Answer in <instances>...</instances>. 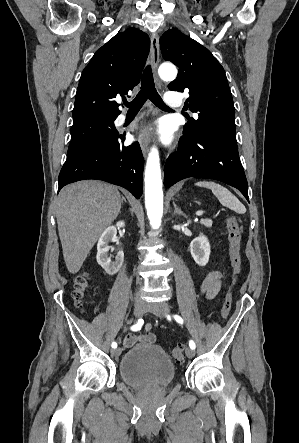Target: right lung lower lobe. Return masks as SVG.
Wrapping results in <instances>:
<instances>
[{"label": "right lung lower lobe", "instance_id": "obj_1", "mask_svg": "<svg viewBox=\"0 0 299 443\" xmlns=\"http://www.w3.org/2000/svg\"><path fill=\"white\" fill-rule=\"evenodd\" d=\"M124 135L118 132L110 139L89 145L68 157L59 174L60 189L85 179H97L129 190L137 199L142 194L144 159L138 142L123 146Z\"/></svg>", "mask_w": 299, "mask_h": 443}]
</instances>
